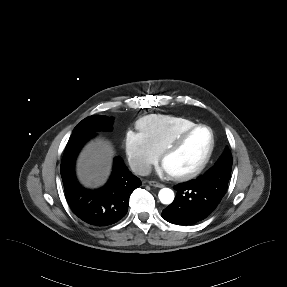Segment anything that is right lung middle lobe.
Returning a JSON list of instances; mask_svg holds the SVG:
<instances>
[{"mask_svg": "<svg viewBox=\"0 0 287 287\" xmlns=\"http://www.w3.org/2000/svg\"><path fill=\"white\" fill-rule=\"evenodd\" d=\"M113 118L103 115H92L82 120L73 130V133L79 131H100L112 130Z\"/></svg>", "mask_w": 287, "mask_h": 287, "instance_id": "dd1d6c3e", "label": "right lung middle lobe"}]
</instances>
